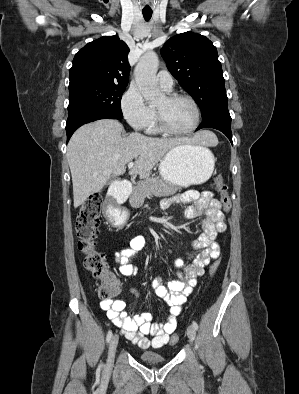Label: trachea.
Wrapping results in <instances>:
<instances>
[{
	"instance_id": "3493384b",
	"label": "trachea",
	"mask_w": 299,
	"mask_h": 394,
	"mask_svg": "<svg viewBox=\"0 0 299 394\" xmlns=\"http://www.w3.org/2000/svg\"><path fill=\"white\" fill-rule=\"evenodd\" d=\"M145 21H149L152 17V11H142Z\"/></svg>"
}]
</instances>
